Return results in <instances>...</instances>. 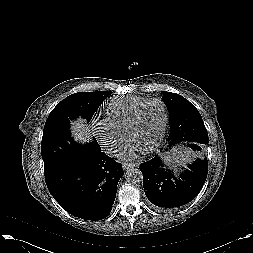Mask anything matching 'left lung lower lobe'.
Wrapping results in <instances>:
<instances>
[{"label":"left lung lower lobe","mask_w":253,"mask_h":253,"mask_svg":"<svg viewBox=\"0 0 253 253\" xmlns=\"http://www.w3.org/2000/svg\"><path fill=\"white\" fill-rule=\"evenodd\" d=\"M187 143L199 158L179 176L165 167L161 155L139 166L143 174L145 195L159 209L169 210L186 205L198 195L206 180L208 162L207 157H204V147L198 142Z\"/></svg>","instance_id":"left-lung-lower-lobe-1"}]
</instances>
